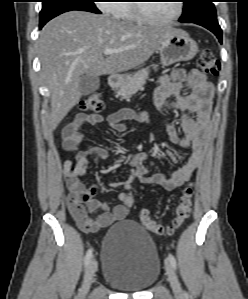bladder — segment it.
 <instances>
[{
	"label": "bladder",
	"mask_w": 248,
	"mask_h": 299,
	"mask_svg": "<svg viewBox=\"0 0 248 299\" xmlns=\"http://www.w3.org/2000/svg\"><path fill=\"white\" fill-rule=\"evenodd\" d=\"M159 273L156 245L142 226L122 221L108 230L102 248V277L111 286L139 292L151 286Z\"/></svg>",
	"instance_id": "bladder-1"
}]
</instances>
